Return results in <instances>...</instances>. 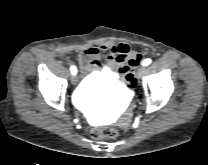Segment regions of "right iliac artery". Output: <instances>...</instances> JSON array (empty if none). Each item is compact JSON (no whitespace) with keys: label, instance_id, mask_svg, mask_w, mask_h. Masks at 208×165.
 Listing matches in <instances>:
<instances>
[{"label":"right iliac artery","instance_id":"1","mask_svg":"<svg viewBox=\"0 0 208 165\" xmlns=\"http://www.w3.org/2000/svg\"><path fill=\"white\" fill-rule=\"evenodd\" d=\"M70 70H71V73H72L73 75H75V74L77 73V69H76V67L73 66V65L70 67Z\"/></svg>","mask_w":208,"mask_h":165}]
</instances>
